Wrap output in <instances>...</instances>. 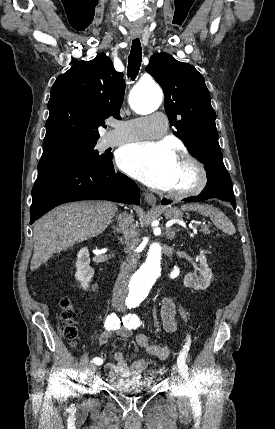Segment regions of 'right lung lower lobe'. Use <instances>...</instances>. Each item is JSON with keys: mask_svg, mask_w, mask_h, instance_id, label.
I'll use <instances>...</instances> for the list:
<instances>
[{"mask_svg": "<svg viewBox=\"0 0 275 429\" xmlns=\"http://www.w3.org/2000/svg\"><path fill=\"white\" fill-rule=\"evenodd\" d=\"M133 180L115 172L113 164L64 168L39 175L32 189L30 224L54 207L71 201L100 199L140 204Z\"/></svg>", "mask_w": 275, "mask_h": 429, "instance_id": "98d812e1", "label": "right lung lower lobe"}]
</instances>
